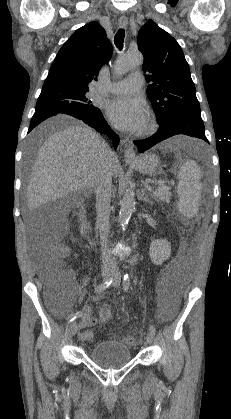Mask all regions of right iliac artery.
Returning a JSON list of instances; mask_svg holds the SVG:
<instances>
[{
  "label": "right iliac artery",
  "instance_id": "82829eb1",
  "mask_svg": "<svg viewBox=\"0 0 231 419\" xmlns=\"http://www.w3.org/2000/svg\"><path fill=\"white\" fill-rule=\"evenodd\" d=\"M112 282H113V279L111 278V279H108V280H106L105 282H103V283L99 284V285L95 288V292H96V293H100V292H102L104 289H107L108 287H110V285L112 284ZM81 316H82V312H77L76 314L72 315V316L69 318V323H70V322H72L73 320H75L76 318L81 317Z\"/></svg>",
  "mask_w": 231,
  "mask_h": 419
}]
</instances>
